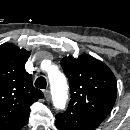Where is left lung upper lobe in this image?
Here are the masks:
<instances>
[{"label": "left lung upper lobe", "mask_w": 130, "mask_h": 130, "mask_svg": "<svg viewBox=\"0 0 130 130\" xmlns=\"http://www.w3.org/2000/svg\"><path fill=\"white\" fill-rule=\"evenodd\" d=\"M61 66L71 88L68 107L104 120L117 96L116 79L110 68L88 54L64 57Z\"/></svg>", "instance_id": "obj_1"}]
</instances>
